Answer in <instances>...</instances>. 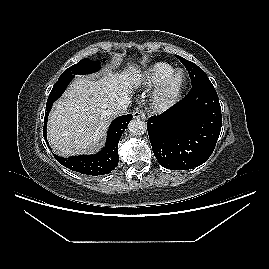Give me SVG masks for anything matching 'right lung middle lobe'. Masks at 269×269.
<instances>
[{
	"label": "right lung middle lobe",
	"instance_id": "right-lung-middle-lobe-1",
	"mask_svg": "<svg viewBox=\"0 0 269 269\" xmlns=\"http://www.w3.org/2000/svg\"><path fill=\"white\" fill-rule=\"evenodd\" d=\"M101 61L102 60L91 61L88 58L82 59L77 64H74L73 66L66 69L65 72L59 77V79L74 77L77 74L81 75L97 72L100 69Z\"/></svg>",
	"mask_w": 269,
	"mask_h": 269
}]
</instances>
